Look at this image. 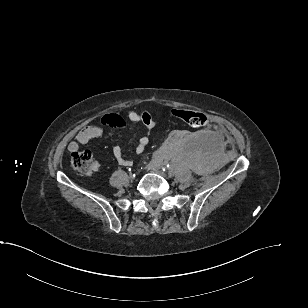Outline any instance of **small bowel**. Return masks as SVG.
Wrapping results in <instances>:
<instances>
[{"instance_id": "1", "label": "small bowel", "mask_w": 308, "mask_h": 308, "mask_svg": "<svg viewBox=\"0 0 308 308\" xmlns=\"http://www.w3.org/2000/svg\"><path fill=\"white\" fill-rule=\"evenodd\" d=\"M128 121L136 124L141 132L135 151L137 154H142L149 144L151 131L155 128L156 122L149 112H137L135 110H128L126 119L116 114H105L101 118L100 125H90L81 129L77 133L75 140L69 143L68 151L74 152L78 150L79 145H84L93 139L100 138L104 134L105 128L124 129L127 127ZM113 155L121 166H131L133 163L131 159L124 155L119 146L113 148ZM93 168L98 169V165L95 163Z\"/></svg>"}]
</instances>
